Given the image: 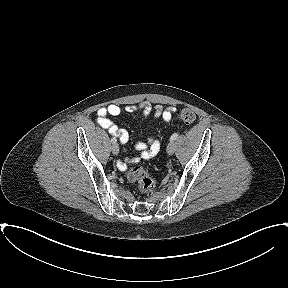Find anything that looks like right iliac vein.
Wrapping results in <instances>:
<instances>
[{
    "label": "right iliac vein",
    "mask_w": 288,
    "mask_h": 288,
    "mask_svg": "<svg viewBox=\"0 0 288 288\" xmlns=\"http://www.w3.org/2000/svg\"><path fill=\"white\" fill-rule=\"evenodd\" d=\"M111 151L114 155H117L119 153V146L118 144L114 143L112 146H111Z\"/></svg>",
    "instance_id": "obj_1"
}]
</instances>
